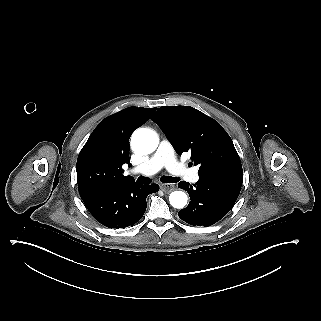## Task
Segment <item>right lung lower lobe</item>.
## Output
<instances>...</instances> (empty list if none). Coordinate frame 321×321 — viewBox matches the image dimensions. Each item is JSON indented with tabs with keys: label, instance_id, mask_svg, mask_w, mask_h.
Instances as JSON below:
<instances>
[{
	"label": "right lung lower lobe",
	"instance_id": "obj_1",
	"mask_svg": "<svg viewBox=\"0 0 321 321\" xmlns=\"http://www.w3.org/2000/svg\"><path fill=\"white\" fill-rule=\"evenodd\" d=\"M159 190L157 184L125 187L93 193L82 198L92 216L109 228H125L139 221L147 207L146 197Z\"/></svg>",
	"mask_w": 321,
	"mask_h": 321
}]
</instances>
